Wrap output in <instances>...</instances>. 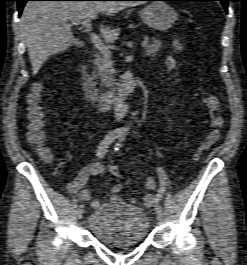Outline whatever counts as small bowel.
Returning <instances> with one entry per match:
<instances>
[{"mask_svg": "<svg viewBox=\"0 0 247 265\" xmlns=\"http://www.w3.org/2000/svg\"><path fill=\"white\" fill-rule=\"evenodd\" d=\"M105 168L100 163H92L85 166L78 175L67 185V191L69 194L75 195L79 201H88L92 197V190L90 188H86L87 180L94 175L104 174ZM156 187L155 181L152 177H146L143 182V188L146 191H152ZM122 190V186L120 184H116L112 186L107 195L113 201H120L122 197L120 192ZM131 202H135V199H130ZM154 196L150 193L146 194L143 199V203L146 207H150L153 204Z\"/></svg>", "mask_w": 247, "mask_h": 265, "instance_id": "c3829d8e", "label": "small bowel"}]
</instances>
